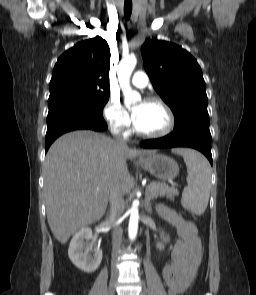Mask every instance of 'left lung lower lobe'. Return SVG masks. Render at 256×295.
Returning a JSON list of instances; mask_svg holds the SVG:
<instances>
[{"instance_id":"1","label":"left lung lower lobe","mask_w":256,"mask_h":295,"mask_svg":"<svg viewBox=\"0 0 256 295\" xmlns=\"http://www.w3.org/2000/svg\"><path fill=\"white\" fill-rule=\"evenodd\" d=\"M143 148H172L190 147L202 152L213 163L211 155V134L209 128L197 125H187L180 129L173 130L169 135L159 138L142 141Z\"/></svg>"}]
</instances>
